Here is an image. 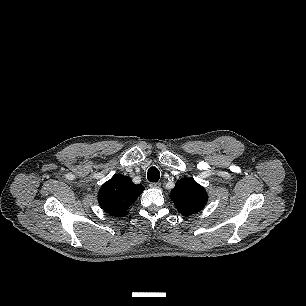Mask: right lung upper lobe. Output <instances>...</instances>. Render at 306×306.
Here are the masks:
<instances>
[{"mask_svg":"<svg viewBox=\"0 0 306 306\" xmlns=\"http://www.w3.org/2000/svg\"><path fill=\"white\" fill-rule=\"evenodd\" d=\"M143 190L142 184L136 185L129 177L116 175L102 185L98 202L110 216L124 217Z\"/></svg>","mask_w":306,"mask_h":306,"instance_id":"right-lung-upper-lobe-1","label":"right lung upper lobe"}]
</instances>
